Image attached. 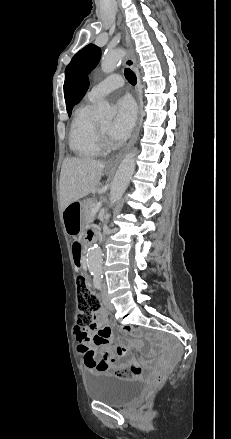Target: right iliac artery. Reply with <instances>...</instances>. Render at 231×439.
I'll list each match as a JSON object with an SVG mask.
<instances>
[{"label":"right iliac artery","mask_w":231,"mask_h":439,"mask_svg":"<svg viewBox=\"0 0 231 439\" xmlns=\"http://www.w3.org/2000/svg\"><path fill=\"white\" fill-rule=\"evenodd\" d=\"M101 279H94V286L99 289L101 287Z\"/></svg>","instance_id":"right-iliac-artery-1"}]
</instances>
